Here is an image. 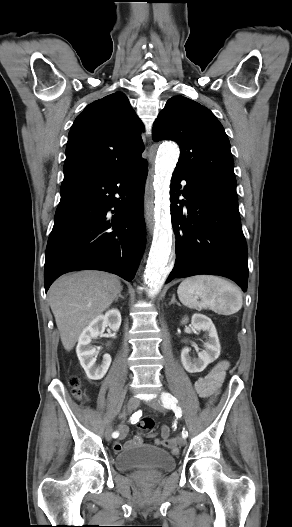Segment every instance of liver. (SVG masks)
Masks as SVG:
<instances>
[{
	"label": "liver",
	"instance_id": "liver-1",
	"mask_svg": "<svg viewBox=\"0 0 292 527\" xmlns=\"http://www.w3.org/2000/svg\"><path fill=\"white\" fill-rule=\"evenodd\" d=\"M122 290L119 279L101 271H80L57 279L48 291L61 342L66 351L81 332L110 307Z\"/></svg>",
	"mask_w": 292,
	"mask_h": 527
}]
</instances>
